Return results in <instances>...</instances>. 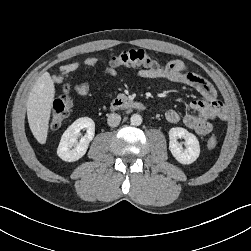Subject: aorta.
<instances>
[{
  "mask_svg": "<svg viewBox=\"0 0 251 251\" xmlns=\"http://www.w3.org/2000/svg\"><path fill=\"white\" fill-rule=\"evenodd\" d=\"M130 122L134 126H139L142 123V117L139 114H133L130 118Z\"/></svg>",
  "mask_w": 251,
  "mask_h": 251,
  "instance_id": "762f6f07",
  "label": "aorta"
}]
</instances>
